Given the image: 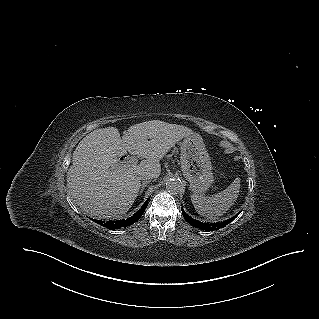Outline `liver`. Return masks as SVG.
Returning a JSON list of instances; mask_svg holds the SVG:
<instances>
[{
  "label": "liver",
  "instance_id": "liver-1",
  "mask_svg": "<svg viewBox=\"0 0 319 319\" xmlns=\"http://www.w3.org/2000/svg\"><path fill=\"white\" fill-rule=\"evenodd\" d=\"M188 127L160 120L132 125L120 136L115 127L96 129L76 147L67 173V186L76 204L90 216L115 218L127 213L139 194L141 172L158 178L160 160L185 136ZM127 152L143 160L125 167L119 157Z\"/></svg>",
  "mask_w": 319,
  "mask_h": 319
}]
</instances>
